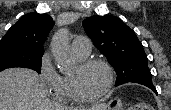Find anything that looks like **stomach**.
I'll use <instances>...</instances> for the list:
<instances>
[{"mask_svg": "<svg viewBox=\"0 0 171 110\" xmlns=\"http://www.w3.org/2000/svg\"><path fill=\"white\" fill-rule=\"evenodd\" d=\"M89 110H122V103L119 99H112L108 104L94 107Z\"/></svg>", "mask_w": 171, "mask_h": 110, "instance_id": "stomach-1", "label": "stomach"}]
</instances>
